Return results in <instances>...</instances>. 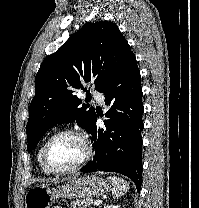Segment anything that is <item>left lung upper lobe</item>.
Masks as SVG:
<instances>
[{
    "label": "left lung upper lobe",
    "mask_w": 199,
    "mask_h": 208,
    "mask_svg": "<svg viewBox=\"0 0 199 208\" xmlns=\"http://www.w3.org/2000/svg\"><path fill=\"white\" fill-rule=\"evenodd\" d=\"M118 27L107 21L89 22L41 64L26 126L28 152L54 125L76 121L90 131L95 110L76 97L83 84L99 91L133 56Z\"/></svg>",
    "instance_id": "obj_1"
}]
</instances>
